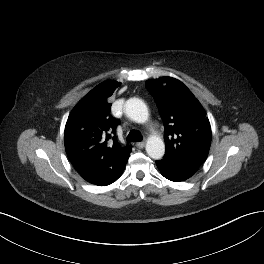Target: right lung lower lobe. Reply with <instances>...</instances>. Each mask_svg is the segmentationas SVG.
Here are the masks:
<instances>
[{
  "mask_svg": "<svg viewBox=\"0 0 264 264\" xmlns=\"http://www.w3.org/2000/svg\"><path fill=\"white\" fill-rule=\"evenodd\" d=\"M126 163L127 161L121 167L114 169L109 168L105 164L101 163L74 167L87 182L99 186H106L113 183L122 175Z\"/></svg>",
  "mask_w": 264,
  "mask_h": 264,
  "instance_id": "98d812e1",
  "label": "right lung lower lobe"
}]
</instances>
